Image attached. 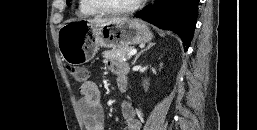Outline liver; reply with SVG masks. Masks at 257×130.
I'll use <instances>...</instances> for the list:
<instances>
[{
    "mask_svg": "<svg viewBox=\"0 0 257 130\" xmlns=\"http://www.w3.org/2000/svg\"><path fill=\"white\" fill-rule=\"evenodd\" d=\"M121 18H111V19H103V18H95V19H92V20H88V22L90 24H102V23H105V22H115V21H118L120 20Z\"/></svg>",
    "mask_w": 257,
    "mask_h": 130,
    "instance_id": "1",
    "label": "liver"
}]
</instances>
